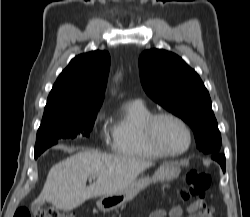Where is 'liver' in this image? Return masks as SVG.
I'll return each mask as SVG.
<instances>
[{"mask_svg":"<svg viewBox=\"0 0 250 217\" xmlns=\"http://www.w3.org/2000/svg\"><path fill=\"white\" fill-rule=\"evenodd\" d=\"M151 166L144 159L82 151L50 169L34 203L47 201L60 210H72L90 198L125 190ZM89 177L96 181L86 186Z\"/></svg>","mask_w":250,"mask_h":217,"instance_id":"liver-1","label":"liver"}]
</instances>
